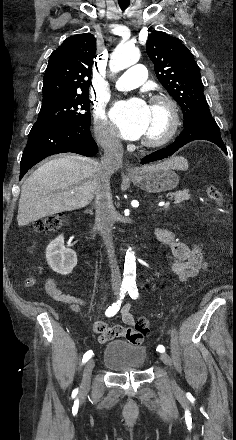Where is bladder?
<instances>
[{
	"label": "bladder",
	"mask_w": 236,
	"mask_h": 440,
	"mask_svg": "<svg viewBox=\"0 0 236 440\" xmlns=\"http://www.w3.org/2000/svg\"><path fill=\"white\" fill-rule=\"evenodd\" d=\"M102 361L115 371H142L147 363V348L115 339L107 343Z\"/></svg>",
	"instance_id": "31cf9c89"
}]
</instances>
